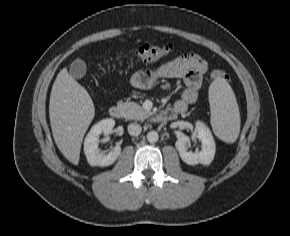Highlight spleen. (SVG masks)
Instances as JSON below:
<instances>
[{
    "mask_svg": "<svg viewBox=\"0 0 290 236\" xmlns=\"http://www.w3.org/2000/svg\"><path fill=\"white\" fill-rule=\"evenodd\" d=\"M211 125L215 135L233 143L240 133V113L234 92L223 79H215L209 87Z\"/></svg>",
    "mask_w": 290,
    "mask_h": 236,
    "instance_id": "obj_1",
    "label": "spleen"
}]
</instances>
